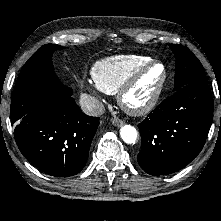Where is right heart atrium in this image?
Segmentation results:
<instances>
[{"label": "right heart atrium", "mask_w": 221, "mask_h": 221, "mask_svg": "<svg viewBox=\"0 0 221 221\" xmlns=\"http://www.w3.org/2000/svg\"><path fill=\"white\" fill-rule=\"evenodd\" d=\"M86 89L96 95H99L100 93V89L96 85H93V84L86 85Z\"/></svg>", "instance_id": "d8ad5b80"}]
</instances>
